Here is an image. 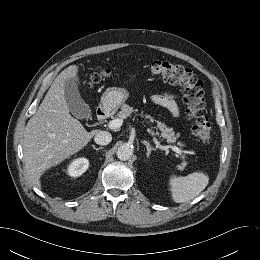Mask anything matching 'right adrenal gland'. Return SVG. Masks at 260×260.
I'll return each instance as SVG.
<instances>
[{
	"instance_id": "right-adrenal-gland-1",
	"label": "right adrenal gland",
	"mask_w": 260,
	"mask_h": 260,
	"mask_svg": "<svg viewBox=\"0 0 260 260\" xmlns=\"http://www.w3.org/2000/svg\"><path fill=\"white\" fill-rule=\"evenodd\" d=\"M92 147H93V149H95L96 151H99V150H102L103 149V147H95V145H92Z\"/></svg>"
}]
</instances>
